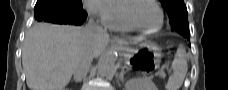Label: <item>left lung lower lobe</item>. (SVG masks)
<instances>
[{
	"instance_id": "1",
	"label": "left lung lower lobe",
	"mask_w": 228,
	"mask_h": 90,
	"mask_svg": "<svg viewBox=\"0 0 228 90\" xmlns=\"http://www.w3.org/2000/svg\"><path fill=\"white\" fill-rule=\"evenodd\" d=\"M179 34H181L182 36H184V37L189 39V34H186V33H179Z\"/></svg>"
}]
</instances>
